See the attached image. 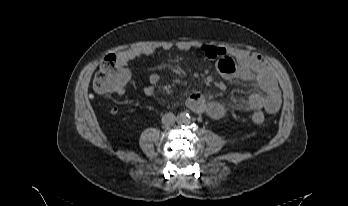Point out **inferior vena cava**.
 <instances>
[{"label":"inferior vena cava","instance_id":"1","mask_svg":"<svg viewBox=\"0 0 348 206\" xmlns=\"http://www.w3.org/2000/svg\"><path fill=\"white\" fill-rule=\"evenodd\" d=\"M175 121H176V117L171 112L164 114L162 117V123L165 125H173Z\"/></svg>","mask_w":348,"mask_h":206}]
</instances>
